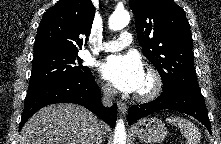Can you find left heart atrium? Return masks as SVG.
Returning a JSON list of instances; mask_svg holds the SVG:
<instances>
[{
  "mask_svg": "<svg viewBox=\"0 0 221 144\" xmlns=\"http://www.w3.org/2000/svg\"><path fill=\"white\" fill-rule=\"evenodd\" d=\"M101 72L106 80L123 92L138 91L145 77L140 59L132 54L109 56L102 64Z\"/></svg>",
  "mask_w": 221,
  "mask_h": 144,
  "instance_id": "left-heart-atrium-1",
  "label": "left heart atrium"
}]
</instances>
